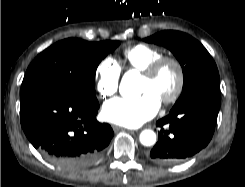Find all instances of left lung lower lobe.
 Segmentation results:
<instances>
[{"mask_svg": "<svg viewBox=\"0 0 245 187\" xmlns=\"http://www.w3.org/2000/svg\"><path fill=\"white\" fill-rule=\"evenodd\" d=\"M220 108V93L213 91L199 95L169 115L157 121L156 126H168L158 133V142L149 159L162 165L184 161L204 148L211 140Z\"/></svg>", "mask_w": 245, "mask_h": 187, "instance_id": "left-lung-lower-lobe-1", "label": "left lung lower lobe"}]
</instances>
